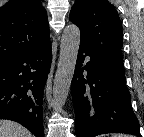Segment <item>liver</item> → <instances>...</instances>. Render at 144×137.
<instances>
[{
	"instance_id": "1",
	"label": "liver",
	"mask_w": 144,
	"mask_h": 137,
	"mask_svg": "<svg viewBox=\"0 0 144 137\" xmlns=\"http://www.w3.org/2000/svg\"><path fill=\"white\" fill-rule=\"evenodd\" d=\"M0 137H32V134L17 122L0 120Z\"/></svg>"
}]
</instances>
